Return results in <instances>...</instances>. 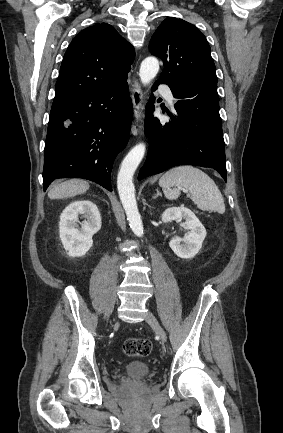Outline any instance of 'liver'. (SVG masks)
Here are the masks:
<instances>
[{
	"label": "liver",
	"mask_w": 283,
	"mask_h": 433,
	"mask_svg": "<svg viewBox=\"0 0 283 433\" xmlns=\"http://www.w3.org/2000/svg\"><path fill=\"white\" fill-rule=\"evenodd\" d=\"M90 184L86 180L80 178H71L53 186L48 192L49 198H66V196H76V194H83L88 190Z\"/></svg>",
	"instance_id": "obj_1"
}]
</instances>
